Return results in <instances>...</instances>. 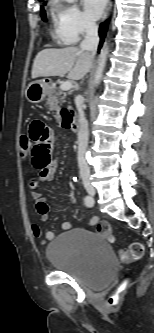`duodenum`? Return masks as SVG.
<instances>
[{
  "mask_svg": "<svg viewBox=\"0 0 154 333\" xmlns=\"http://www.w3.org/2000/svg\"><path fill=\"white\" fill-rule=\"evenodd\" d=\"M70 128L71 131L75 134H77L79 132V121L77 119V117H71L70 119Z\"/></svg>",
  "mask_w": 154,
  "mask_h": 333,
  "instance_id": "410a0bca",
  "label": "duodenum"
}]
</instances>
